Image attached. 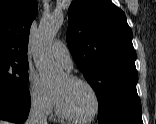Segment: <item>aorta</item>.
I'll return each mask as SVG.
<instances>
[{"instance_id":"obj_1","label":"aorta","mask_w":156,"mask_h":124,"mask_svg":"<svg viewBox=\"0 0 156 124\" xmlns=\"http://www.w3.org/2000/svg\"><path fill=\"white\" fill-rule=\"evenodd\" d=\"M62 22L63 15L55 14L44 18L39 24L33 59L44 85L55 82L63 73V70L55 64L51 53L52 41Z\"/></svg>"}]
</instances>
